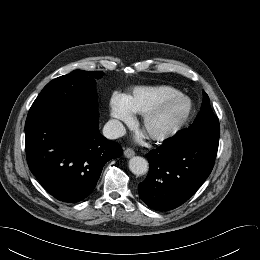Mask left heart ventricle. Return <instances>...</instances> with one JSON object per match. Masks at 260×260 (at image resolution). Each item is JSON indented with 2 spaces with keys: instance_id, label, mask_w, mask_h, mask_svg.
<instances>
[{
  "instance_id": "1",
  "label": "left heart ventricle",
  "mask_w": 260,
  "mask_h": 260,
  "mask_svg": "<svg viewBox=\"0 0 260 260\" xmlns=\"http://www.w3.org/2000/svg\"><path fill=\"white\" fill-rule=\"evenodd\" d=\"M183 111L184 103L181 100H176L166 105L149 121L146 130L148 132H156L172 126L182 116Z\"/></svg>"
}]
</instances>
